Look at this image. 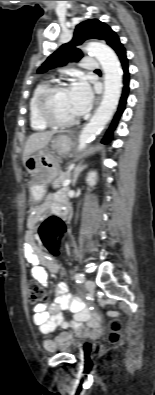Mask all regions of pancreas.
Segmentation results:
<instances>
[{
    "label": "pancreas",
    "mask_w": 155,
    "mask_h": 395,
    "mask_svg": "<svg viewBox=\"0 0 155 395\" xmlns=\"http://www.w3.org/2000/svg\"><path fill=\"white\" fill-rule=\"evenodd\" d=\"M69 176H70V174L67 173V172H66V173H59L56 177H54V178L51 179L50 184H51V186H52L54 189H57V188H59V187L62 185V183H63L66 179L69 178Z\"/></svg>",
    "instance_id": "obj_1"
}]
</instances>
